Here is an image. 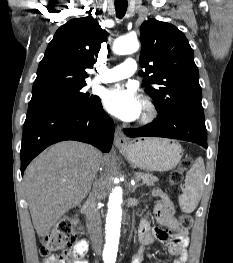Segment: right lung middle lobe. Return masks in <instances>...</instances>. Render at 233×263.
Instances as JSON below:
<instances>
[{
    "mask_svg": "<svg viewBox=\"0 0 233 263\" xmlns=\"http://www.w3.org/2000/svg\"><path fill=\"white\" fill-rule=\"evenodd\" d=\"M85 85L32 96L27 116L56 110H74L91 105L97 97H89L88 93H83L81 89Z\"/></svg>",
    "mask_w": 233,
    "mask_h": 263,
    "instance_id": "right-lung-middle-lobe-1",
    "label": "right lung middle lobe"
}]
</instances>
